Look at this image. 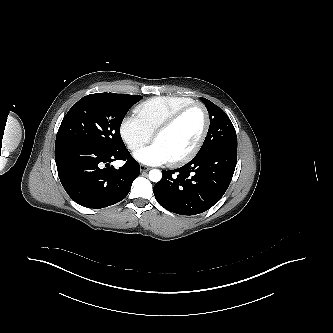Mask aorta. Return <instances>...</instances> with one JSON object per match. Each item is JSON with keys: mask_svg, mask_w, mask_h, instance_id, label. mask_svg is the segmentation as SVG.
I'll return each mask as SVG.
<instances>
[{"mask_svg": "<svg viewBox=\"0 0 333 333\" xmlns=\"http://www.w3.org/2000/svg\"><path fill=\"white\" fill-rule=\"evenodd\" d=\"M162 178V173L160 170L158 169H152L150 172H149V179L152 181V182H158L160 181Z\"/></svg>", "mask_w": 333, "mask_h": 333, "instance_id": "1", "label": "aorta"}]
</instances>
